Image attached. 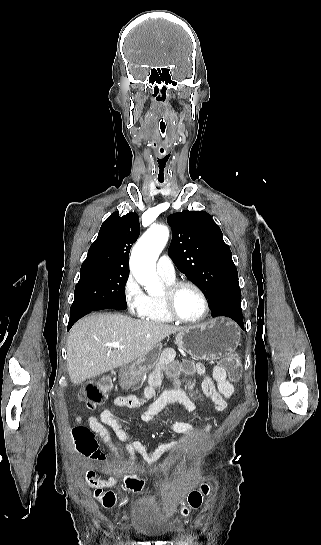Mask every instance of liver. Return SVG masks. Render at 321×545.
<instances>
[{
  "instance_id": "obj_1",
  "label": "liver",
  "mask_w": 321,
  "mask_h": 545,
  "mask_svg": "<svg viewBox=\"0 0 321 545\" xmlns=\"http://www.w3.org/2000/svg\"><path fill=\"white\" fill-rule=\"evenodd\" d=\"M183 327L139 321L125 315H88L72 327L67 341V369L74 385L93 379L117 367H124L147 355L157 343ZM120 343L122 349L106 347Z\"/></svg>"
}]
</instances>
